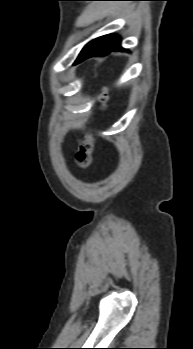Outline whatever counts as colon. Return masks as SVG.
<instances>
[{
	"label": "colon",
	"mask_w": 193,
	"mask_h": 349,
	"mask_svg": "<svg viewBox=\"0 0 193 349\" xmlns=\"http://www.w3.org/2000/svg\"><path fill=\"white\" fill-rule=\"evenodd\" d=\"M102 107L106 106V95L101 97ZM95 141L91 133L87 134L80 142L78 150L75 154V161L80 169H86L92 162V154L94 151Z\"/></svg>",
	"instance_id": "obj_1"
}]
</instances>
